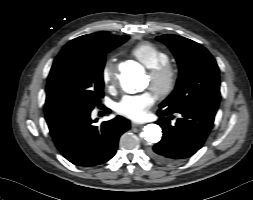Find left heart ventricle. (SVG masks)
<instances>
[{
  "label": "left heart ventricle",
  "instance_id": "left-heart-ventricle-1",
  "mask_svg": "<svg viewBox=\"0 0 253 200\" xmlns=\"http://www.w3.org/2000/svg\"><path fill=\"white\" fill-rule=\"evenodd\" d=\"M146 85L151 86V79L149 76H147Z\"/></svg>",
  "mask_w": 253,
  "mask_h": 200
}]
</instances>
